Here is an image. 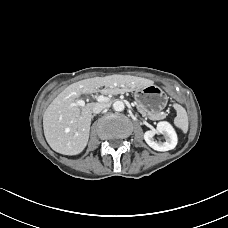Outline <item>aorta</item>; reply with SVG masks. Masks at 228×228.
Wrapping results in <instances>:
<instances>
[{
  "mask_svg": "<svg viewBox=\"0 0 228 228\" xmlns=\"http://www.w3.org/2000/svg\"><path fill=\"white\" fill-rule=\"evenodd\" d=\"M113 108L115 111H123L125 106L122 101H116L113 103Z\"/></svg>",
  "mask_w": 228,
  "mask_h": 228,
  "instance_id": "aorta-1",
  "label": "aorta"
}]
</instances>
